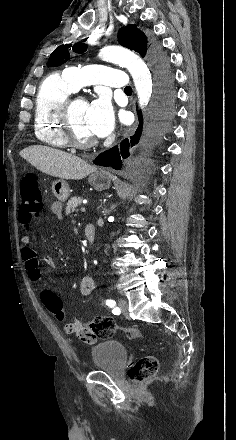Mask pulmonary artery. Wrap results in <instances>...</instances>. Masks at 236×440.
I'll return each mask as SVG.
<instances>
[{
  "label": "pulmonary artery",
  "instance_id": "e3ab8cb5",
  "mask_svg": "<svg viewBox=\"0 0 236 440\" xmlns=\"http://www.w3.org/2000/svg\"><path fill=\"white\" fill-rule=\"evenodd\" d=\"M64 76L70 82L75 91L82 86L92 84H100L120 89H125L130 86L129 81L122 70L105 65L69 67L65 70Z\"/></svg>",
  "mask_w": 236,
  "mask_h": 440
}]
</instances>
